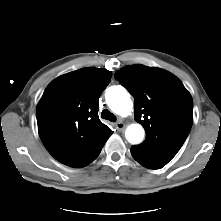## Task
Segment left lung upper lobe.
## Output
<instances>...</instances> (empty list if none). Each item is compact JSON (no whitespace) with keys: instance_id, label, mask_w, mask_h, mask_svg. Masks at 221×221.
<instances>
[{"instance_id":"1","label":"left lung upper lobe","mask_w":221,"mask_h":221,"mask_svg":"<svg viewBox=\"0 0 221 221\" xmlns=\"http://www.w3.org/2000/svg\"><path fill=\"white\" fill-rule=\"evenodd\" d=\"M115 78L134 97L135 120L145 129L142 143L174 157L193 123V101L170 72L141 64L126 66Z\"/></svg>"}]
</instances>
